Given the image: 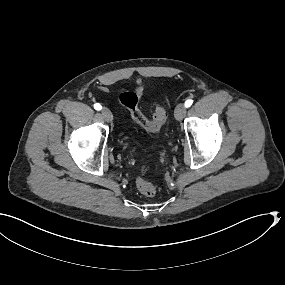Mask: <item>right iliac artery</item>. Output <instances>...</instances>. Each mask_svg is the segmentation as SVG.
<instances>
[{"label":"right iliac artery","instance_id":"obj_1","mask_svg":"<svg viewBox=\"0 0 285 285\" xmlns=\"http://www.w3.org/2000/svg\"><path fill=\"white\" fill-rule=\"evenodd\" d=\"M94 108H95L96 110H101V109H102V106H101L99 103H96V104H94Z\"/></svg>","mask_w":285,"mask_h":285}]
</instances>
